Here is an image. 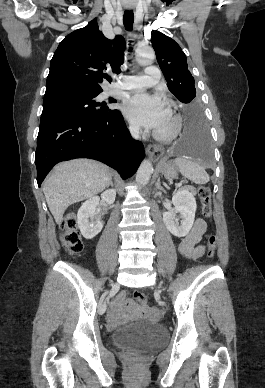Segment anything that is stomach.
Wrapping results in <instances>:
<instances>
[{
    "instance_id": "1",
    "label": "stomach",
    "mask_w": 265,
    "mask_h": 388,
    "mask_svg": "<svg viewBox=\"0 0 265 388\" xmlns=\"http://www.w3.org/2000/svg\"><path fill=\"white\" fill-rule=\"evenodd\" d=\"M159 171L168 179H173L177 176L178 168L174 162L162 160L159 163Z\"/></svg>"
}]
</instances>
